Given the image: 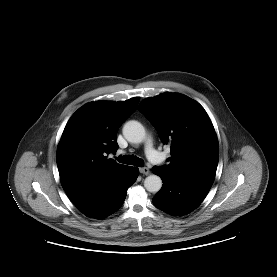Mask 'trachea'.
Wrapping results in <instances>:
<instances>
[{
  "label": "trachea",
  "mask_w": 277,
  "mask_h": 277,
  "mask_svg": "<svg viewBox=\"0 0 277 277\" xmlns=\"http://www.w3.org/2000/svg\"><path fill=\"white\" fill-rule=\"evenodd\" d=\"M116 160L120 163L134 165L137 167H142L144 164V162L141 158H138L133 155H125L123 157L120 156V157H117Z\"/></svg>",
  "instance_id": "1"
}]
</instances>
